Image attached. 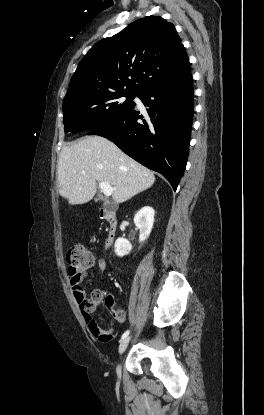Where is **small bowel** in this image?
I'll return each mask as SVG.
<instances>
[{"instance_id":"small-bowel-1","label":"small bowel","mask_w":264,"mask_h":415,"mask_svg":"<svg viewBox=\"0 0 264 415\" xmlns=\"http://www.w3.org/2000/svg\"><path fill=\"white\" fill-rule=\"evenodd\" d=\"M105 269H106V262L104 260L98 261V264H97L98 273L100 274L104 273ZM86 276H87V268H79L75 273L69 274L72 294L79 303L83 301L84 293L81 287V283L83 282ZM89 329L91 333L102 344H107V342L113 338L114 331H115L113 327H110L107 329L100 327L98 323L92 318L89 319Z\"/></svg>"}]
</instances>
